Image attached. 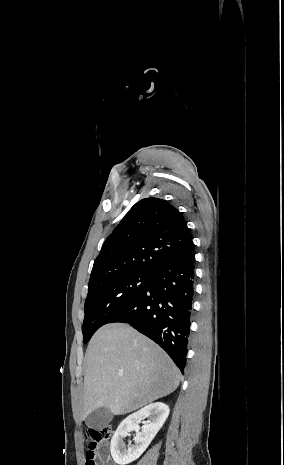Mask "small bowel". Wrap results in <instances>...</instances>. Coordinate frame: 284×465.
Wrapping results in <instances>:
<instances>
[{"label": "small bowel", "instance_id": "c3829d8e", "mask_svg": "<svg viewBox=\"0 0 284 465\" xmlns=\"http://www.w3.org/2000/svg\"><path fill=\"white\" fill-rule=\"evenodd\" d=\"M100 465H109L110 456L107 451L101 452L99 455Z\"/></svg>", "mask_w": 284, "mask_h": 465}]
</instances>
